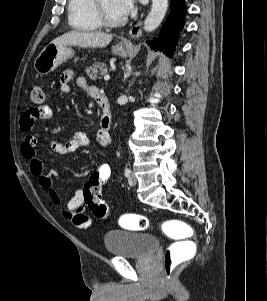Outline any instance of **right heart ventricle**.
<instances>
[{
	"label": "right heart ventricle",
	"mask_w": 267,
	"mask_h": 301,
	"mask_svg": "<svg viewBox=\"0 0 267 301\" xmlns=\"http://www.w3.org/2000/svg\"><path fill=\"white\" fill-rule=\"evenodd\" d=\"M68 21L78 31L93 32L101 29L95 10L94 0H68Z\"/></svg>",
	"instance_id": "obj_1"
}]
</instances>
